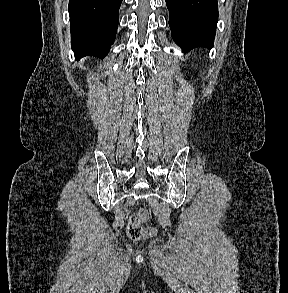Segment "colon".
<instances>
[{"label": "colon", "mask_w": 288, "mask_h": 293, "mask_svg": "<svg viewBox=\"0 0 288 293\" xmlns=\"http://www.w3.org/2000/svg\"><path fill=\"white\" fill-rule=\"evenodd\" d=\"M147 219L148 212L146 209H140L130 217L127 235L131 240H141L154 235L155 231L153 229L144 227Z\"/></svg>", "instance_id": "obj_1"}]
</instances>
